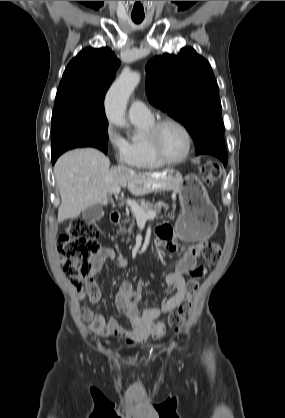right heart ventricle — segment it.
Wrapping results in <instances>:
<instances>
[{
    "label": "right heart ventricle",
    "mask_w": 285,
    "mask_h": 418,
    "mask_svg": "<svg viewBox=\"0 0 285 418\" xmlns=\"http://www.w3.org/2000/svg\"><path fill=\"white\" fill-rule=\"evenodd\" d=\"M141 134L140 138H131L126 141L129 153L130 164L143 169H155L162 167L164 163L157 160L150 151L147 144V134L153 124L151 121H133Z\"/></svg>",
    "instance_id": "e07e8e85"
}]
</instances>
